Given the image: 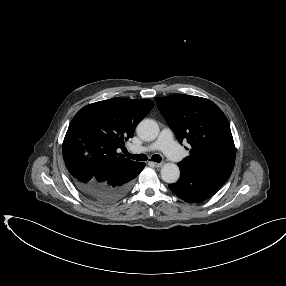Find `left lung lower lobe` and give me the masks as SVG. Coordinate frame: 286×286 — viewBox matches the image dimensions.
Here are the masks:
<instances>
[{"label":"left lung lower lobe","mask_w":286,"mask_h":286,"mask_svg":"<svg viewBox=\"0 0 286 286\" xmlns=\"http://www.w3.org/2000/svg\"><path fill=\"white\" fill-rule=\"evenodd\" d=\"M180 179L170 190L186 202H201L213 196L223 183L208 176L180 167Z\"/></svg>","instance_id":"obj_1"}]
</instances>
